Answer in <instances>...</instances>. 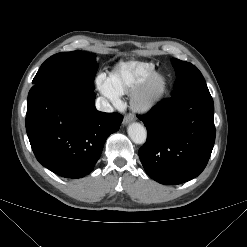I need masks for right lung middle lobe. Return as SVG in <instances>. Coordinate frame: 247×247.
I'll return each mask as SVG.
<instances>
[{"instance_id": "obj_1", "label": "right lung middle lobe", "mask_w": 247, "mask_h": 247, "mask_svg": "<svg viewBox=\"0 0 247 247\" xmlns=\"http://www.w3.org/2000/svg\"><path fill=\"white\" fill-rule=\"evenodd\" d=\"M95 57V54L83 51L57 53L41 65L33 83H60L93 91L98 69Z\"/></svg>"}]
</instances>
